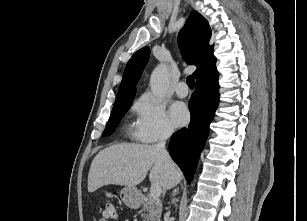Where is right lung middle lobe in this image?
<instances>
[{"instance_id": "right-lung-middle-lobe-1", "label": "right lung middle lobe", "mask_w": 307, "mask_h": 221, "mask_svg": "<svg viewBox=\"0 0 307 221\" xmlns=\"http://www.w3.org/2000/svg\"><path fill=\"white\" fill-rule=\"evenodd\" d=\"M133 99L134 97L114 103L107 127L103 132V136H108L113 133L124 113L129 109Z\"/></svg>"}]
</instances>
